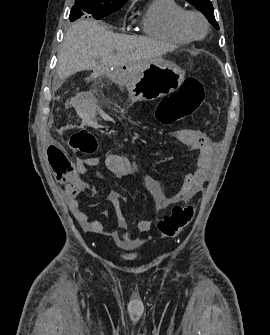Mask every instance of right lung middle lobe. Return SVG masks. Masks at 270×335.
<instances>
[{
	"label": "right lung middle lobe",
	"mask_w": 270,
	"mask_h": 335,
	"mask_svg": "<svg viewBox=\"0 0 270 335\" xmlns=\"http://www.w3.org/2000/svg\"><path fill=\"white\" fill-rule=\"evenodd\" d=\"M123 5L124 3H106L100 0H75L69 19L75 21L83 16L84 18L100 20L117 11Z\"/></svg>",
	"instance_id": "1"
}]
</instances>
